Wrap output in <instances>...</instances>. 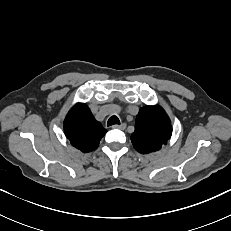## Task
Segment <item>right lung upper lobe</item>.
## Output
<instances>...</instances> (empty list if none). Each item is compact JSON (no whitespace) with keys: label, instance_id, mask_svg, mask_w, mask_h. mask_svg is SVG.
<instances>
[{"label":"right lung upper lobe","instance_id":"1","mask_svg":"<svg viewBox=\"0 0 231 231\" xmlns=\"http://www.w3.org/2000/svg\"><path fill=\"white\" fill-rule=\"evenodd\" d=\"M64 132L70 143L84 153L95 150L107 132L84 103L76 104L64 120Z\"/></svg>","mask_w":231,"mask_h":231}]
</instances>
